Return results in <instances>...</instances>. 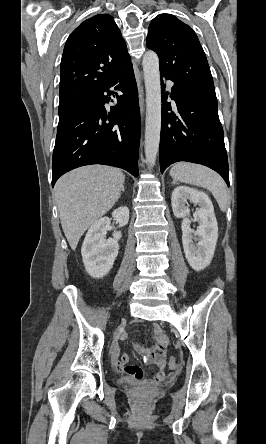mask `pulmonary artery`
<instances>
[{"label": "pulmonary artery", "mask_w": 266, "mask_h": 444, "mask_svg": "<svg viewBox=\"0 0 266 444\" xmlns=\"http://www.w3.org/2000/svg\"><path fill=\"white\" fill-rule=\"evenodd\" d=\"M167 84L169 87L172 85V83L170 81H168Z\"/></svg>", "instance_id": "obj_1"}]
</instances>
